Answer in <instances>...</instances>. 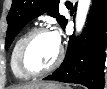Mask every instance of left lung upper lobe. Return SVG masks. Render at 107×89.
<instances>
[{
    "label": "left lung upper lobe",
    "instance_id": "left-lung-upper-lobe-1",
    "mask_svg": "<svg viewBox=\"0 0 107 89\" xmlns=\"http://www.w3.org/2000/svg\"><path fill=\"white\" fill-rule=\"evenodd\" d=\"M59 0H13L7 16L8 29L6 33L5 49H7L20 30L33 18L47 12L57 18L64 28L67 20L58 13Z\"/></svg>",
    "mask_w": 107,
    "mask_h": 89
}]
</instances>
